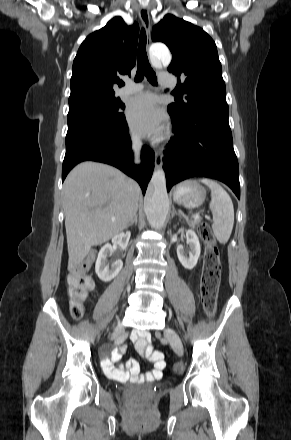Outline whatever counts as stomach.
I'll use <instances>...</instances> for the list:
<instances>
[{
	"mask_svg": "<svg viewBox=\"0 0 291 440\" xmlns=\"http://www.w3.org/2000/svg\"><path fill=\"white\" fill-rule=\"evenodd\" d=\"M206 197V190L192 181L181 183L175 190L173 199L175 202L184 205L187 208L200 206Z\"/></svg>",
	"mask_w": 291,
	"mask_h": 440,
	"instance_id": "0dacf381",
	"label": "stomach"
}]
</instances>
